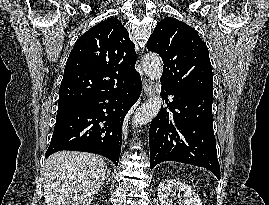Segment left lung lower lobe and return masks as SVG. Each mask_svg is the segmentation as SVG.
I'll return each mask as SVG.
<instances>
[{
    "instance_id": "obj_1",
    "label": "left lung lower lobe",
    "mask_w": 269,
    "mask_h": 205,
    "mask_svg": "<svg viewBox=\"0 0 269 205\" xmlns=\"http://www.w3.org/2000/svg\"><path fill=\"white\" fill-rule=\"evenodd\" d=\"M173 101L162 108L149 129L150 169L163 161L204 167L220 179L216 140L212 123L213 95L181 94L164 85ZM162 91V96L166 94Z\"/></svg>"
}]
</instances>
